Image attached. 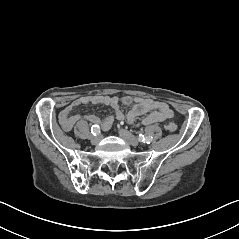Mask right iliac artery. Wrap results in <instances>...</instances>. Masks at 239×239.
Returning a JSON list of instances; mask_svg holds the SVG:
<instances>
[{
	"label": "right iliac artery",
	"mask_w": 239,
	"mask_h": 239,
	"mask_svg": "<svg viewBox=\"0 0 239 239\" xmlns=\"http://www.w3.org/2000/svg\"><path fill=\"white\" fill-rule=\"evenodd\" d=\"M91 133L95 136L99 135L100 133V127L98 125H93L91 127Z\"/></svg>",
	"instance_id": "right-iliac-artery-1"
}]
</instances>
